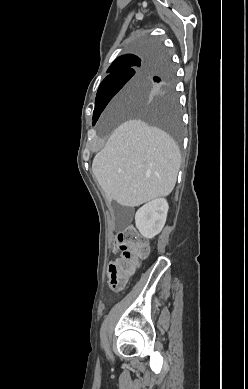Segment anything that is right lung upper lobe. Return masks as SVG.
Listing matches in <instances>:
<instances>
[{
  "label": "right lung upper lobe",
  "mask_w": 248,
  "mask_h": 389,
  "mask_svg": "<svg viewBox=\"0 0 248 389\" xmlns=\"http://www.w3.org/2000/svg\"><path fill=\"white\" fill-rule=\"evenodd\" d=\"M160 49L161 48L152 49L149 53L145 54V56L141 55V57H137L132 54L120 56L112 63L107 72H113L133 64H140L142 66H156L157 60L161 54H157Z\"/></svg>",
  "instance_id": "1"
}]
</instances>
